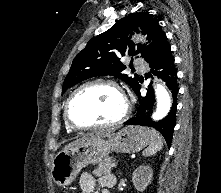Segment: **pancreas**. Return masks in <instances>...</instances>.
I'll return each instance as SVG.
<instances>
[{"label": "pancreas", "mask_w": 221, "mask_h": 193, "mask_svg": "<svg viewBox=\"0 0 221 193\" xmlns=\"http://www.w3.org/2000/svg\"><path fill=\"white\" fill-rule=\"evenodd\" d=\"M113 158H106L104 161L100 162L98 167L93 171L95 176L101 177L111 173L114 163Z\"/></svg>", "instance_id": "obj_1"}]
</instances>
